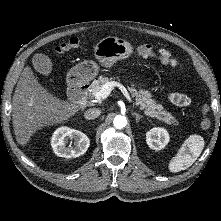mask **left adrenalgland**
I'll list each match as a JSON object with an SVG mask.
<instances>
[{"mask_svg":"<svg viewBox=\"0 0 221 221\" xmlns=\"http://www.w3.org/2000/svg\"><path fill=\"white\" fill-rule=\"evenodd\" d=\"M132 115L133 116H135V118H136V123L138 124V122L140 121V119L142 118V116L140 115V114H138V113H132Z\"/></svg>","mask_w":221,"mask_h":221,"instance_id":"left-adrenal-gland-1","label":"left adrenal gland"}]
</instances>
